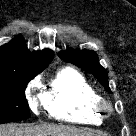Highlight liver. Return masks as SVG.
I'll return each instance as SVG.
<instances>
[{
    "label": "liver",
    "mask_w": 136,
    "mask_h": 136,
    "mask_svg": "<svg viewBox=\"0 0 136 136\" xmlns=\"http://www.w3.org/2000/svg\"><path fill=\"white\" fill-rule=\"evenodd\" d=\"M0 136H98L92 130L77 129L64 125H25L7 124L0 126Z\"/></svg>",
    "instance_id": "liver-1"
}]
</instances>
